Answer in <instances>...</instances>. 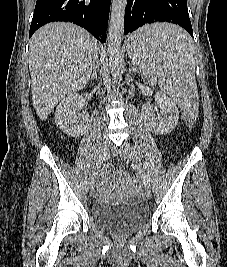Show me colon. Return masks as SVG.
<instances>
[{
	"mask_svg": "<svg viewBox=\"0 0 227 267\" xmlns=\"http://www.w3.org/2000/svg\"><path fill=\"white\" fill-rule=\"evenodd\" d=\"M180 117L182 118V124L187 125L185 127V130L186 131H193L195 128V123L193 120H191V118H196L197 114L195 113V115H187V113H181Z\"/></svg>",
	"mask_w": 227,
	"mask_h": 267,
	"instance_id": "obj_1",
	"label": "colon"
}]
</instances>
